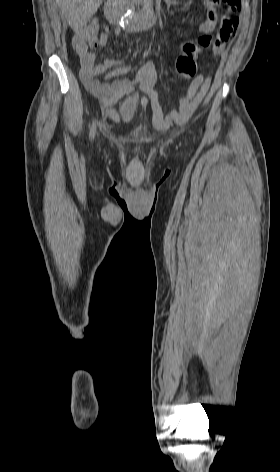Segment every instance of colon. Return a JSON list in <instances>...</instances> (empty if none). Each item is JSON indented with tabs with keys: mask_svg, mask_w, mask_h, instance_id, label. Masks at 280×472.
Instances as JSON below:
<instances>
[{
	"mask_svg": "<svg viewBox=\"0 0 280 472\" xmlns=\"http://www.w3.org/2000/svg\"><path fill=\"white\" fill-rule=\"evenodd\" d=\"M211 3L218 5L220 3L226 6V15L223 19L227 24L235 25L238 22V13L241 10V0H211ZM100 31V26L97 21L90 22L81 32L82 40L87 41L90 46L97 45V36ZM196 66L191 60L178 59L174 73L180 79H188L195 74Z\"/></svg>",
	"mask_w": 280,
	"mask_h": 472,
	"instance_id": "obj_1",
	"label": "colon"
}]
</instances>
